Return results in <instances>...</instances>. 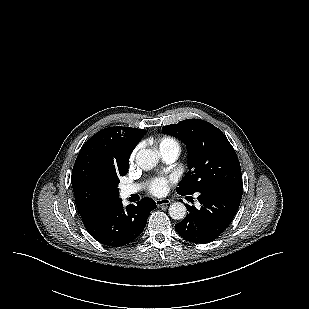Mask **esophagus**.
Instances as JSON below:
<instances>
[{
	"instance_id": "34e87169",
	"label": "esophagus",
	"mask_w": 309,
	"mask_h": 309,
	"mask_svg": "<svg viewBox=\"0 0 309 309\" xmlns=\"http://www.w3.org/2000/svg\"><path fill=\"white\" fill-rule=\"evenodd\" d=\"M155 203H156L157 207H161L163 205H167V204L171 203V200L166 199V198L165 199H157V200H155Z\"/></svg>"
}]
</instances>
